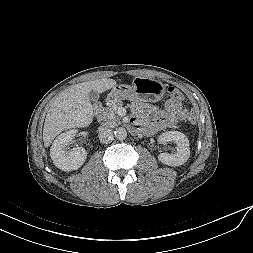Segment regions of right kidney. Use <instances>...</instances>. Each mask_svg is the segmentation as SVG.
Listing matches in <instances>:
<instances>
[{
    "mask_svg": "<svg viewBox=\"0 0 253 253\" xmlns=\"http://www.w3.org/2000/svg\"><path fill=\"white\" fill-rule=\"evenodd\" d=\"M76 135V130L67 131L54 141L50 149V156L55 166L62 171H73L79 169L87 158V151L82 147L73 148L66 152L65 147Z\"/></svg>",
    "mask_w": 253,
    "mask_h": 253,
    "instance_id": "obj_1",
    "label": "right kidney"
}]
</instances>
